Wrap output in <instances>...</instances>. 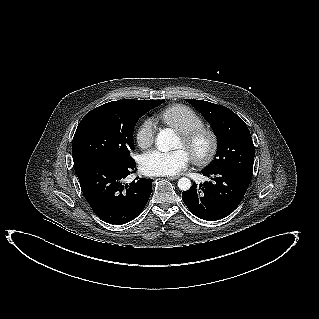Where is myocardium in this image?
<instances>
[{"label":"myocardium","instance_id":"obj_1","mask_svg":"<svg viewBox=\"0 0 319 319\" xmlns=\"http://www.w3.org/2000/svg\"><path fill=\"white\" fill-rule=\"evenodd\" d=\"M180 138L183 141V146L187 149L196 165L206 166L215 158L219 141L216 132L210 127L204 125L195 127L189 131L180 133ZM201 138H204L207 144L206 149L203 152L198 153L194 146Z\"/></svg>","mask_w":319,"mask_h":319}]
</instances>
